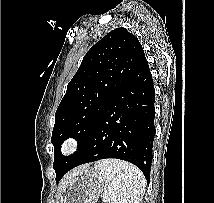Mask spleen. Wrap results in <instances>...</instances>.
<instances>
[{"label": "spleen", "mask_w": 214, "mask_h": 203, "mask_svg": "<svg viewBox=\"0 0 214 203\" xmlns=\"http://www.w3.org/2000/svg\"><path fill=\"white\" fill-rule=\"evenodd\" d=\"M94 168L105 177L104 203H141L146 180L136 166L108 159L96 162Z\"/></svg>", "instance_id": "spleen-1"}]
</instances>
